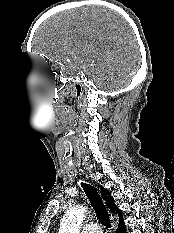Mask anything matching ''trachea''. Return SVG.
<instances>
[{
  "label": "trachea",
  "instance_id": "1",
  "mask_svg": "<svg viewBox=\"0 0 174 233\" xmlns=\"http://www.w3.org/2000/svg\"><path fill=\"white\" fill-rule=\"evenodd\" d=\"M83 187V190L85 191V194L87 198L89 199L96 216L99 220V222L104 225L106 228L111 227L110 223V218H109V213L100 197L98 194L97 190L91 186L90 184L82 183L81 184Z\"/></svg>",
  "mask_w": 174,
  "mask_h": 233
}]
</instances>
